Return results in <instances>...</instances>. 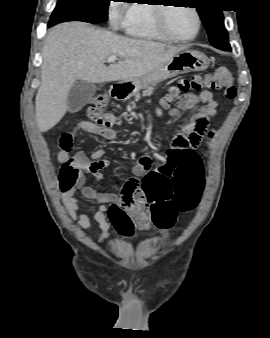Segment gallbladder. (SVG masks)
Segmentation results:
<instances>
[{"label": "gallbladder", "instance_id": "obj_1", "mask_svg": "<svg viewBox=\"0 0 270 338\" xmlns=\"http://www.w3.org/2000/svg\"><path fill=\"white\" fill-rule=\"evenodd\" d=\"M94 83L84 81H76L71 87L68 97L67 105L70 112H77L85 106L97 90Z\"/></svg>", "mask_w": 270, "mask_h": 338}]
</instances>
